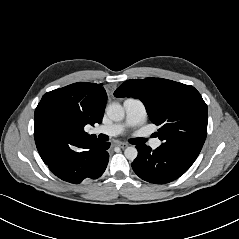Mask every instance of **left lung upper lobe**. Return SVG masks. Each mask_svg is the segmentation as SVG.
Here are the masks:
<instances>
[{"instance_id":"5c2ea615","label":"left lung upper lobe","mask_w":239,"mask_h":239,"mask_svg":"<svg viewBox=\"0 0 239 239\" xmlns=\"http://www.w3.org/2000/svg\"><path fill=\"white\" fill-rule=\"evenodd\" d=\"M115 97L140 99L150 119L161 125L162 144L198 156L207 136V105L192 86L162 78L125 81Z\"/></svg>"}]
</instances>
